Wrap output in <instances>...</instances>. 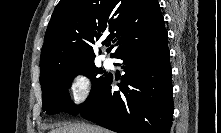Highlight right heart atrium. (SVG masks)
<instances>
[{
    "label": "right heart atrium",
    "mask_w": 221,
    "mask_h": 133,
    "mask_svg": "<svg viewBox=\"0 0 221 133\" xmlns=\"http://www.w3.org/2000/svg\"><path fill=\"white\" fill-rule=\"evenodd\" d=\"M92 79L85 71L73 73L69 79V93L75 106L80 107L87 103L92 94Z\"/></svg>",
    "instance_id": "d8ad5b80"
}]
</instances>
